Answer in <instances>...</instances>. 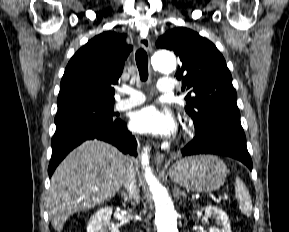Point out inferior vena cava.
Segmentation results:
<instances>
[{"label": "inferior vena cava", "instance_id": "inferior-vena-cava-1", "mask_svg": "<svg viewBox=\"0 0 289 232\" xmlns=\"http://www.w3.org/2000/svg\"><path fill=\"white\" fill-rule=\"evenodd\" d=\"M123 184L128 191L129 197L134 200V203H139V189L136 185L135 171L131 166L124 173Z\"/></svg>", "mask_w": 289, "mask_h": 232}]
</instances>
